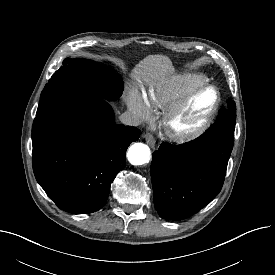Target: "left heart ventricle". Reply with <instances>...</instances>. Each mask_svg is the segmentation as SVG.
<instances>
[{
	"mask_svg": "<svg viewBox=\"0 0 275 275\" xmlns=\"http://www.w3.org/2000/svg\"><path fill=\"white\" fill-rule=\"evenodd\" d=\"M215 102L212 90L204 91L195 96L187 108L174 120L173 128L185 131L198 125L207 115Z\"/></svg>",
	"mask_w": 275,
	"mask_h": 275,
	"instance_id": "1",
	"label": "left heart ventricle"
}]
</instances>
